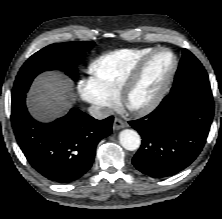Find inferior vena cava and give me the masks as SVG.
I'll use <instances>...</instances> for the list:
<instances>
[{"label":"inferior vena cava","instance_id":"inferior-vena-cava-1","mask_svg":"<svg viewBox=\"0 0 222 219\" xmlns=\"http://www.w3.org/2000/svg\"><path fill=\"white\" fill-rule=\"evenodd\" d=\"M89 114L96 119H104L113 114V111L108 107H100L92 105L88 108Z\"/></svg>","mask_w":222,"mask_h":219}]
</instances>
